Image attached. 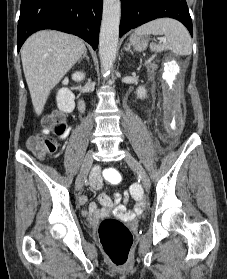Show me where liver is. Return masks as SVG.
<instances>
[{
    "label": "liver",
    "mask_w": 227,
    "mask_h": 279,
    "mask_svg": "<svg viewBox=\"0 0 227 279\" xmlns=\"http://www.w3.org/2000/svg\"><path fill=\"white\" fill-rule=\"evenodd\" d=\"M85 49L78 37L52 30L39 31L25 41L21 59L37 115L42 113L51 90L82 57Z\"/></svg>",
    "instance_id": "6515ba94"
}]
</instances>
